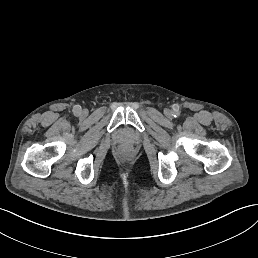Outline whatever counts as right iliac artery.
Wrapping results in <instances>:
<instances>
[{"label":"right iliac artery","mask_w":258,"mask_h":258,"mask_svg":"<svg viewBox=\"0 0 258 258\" xmlns=\"http://www.w3.org/2000/svg\"><path fill=\"white\" fill-rule=\"evenodd\" d=\"M73 114L75 116H79L81 114V106L80 105H75L73 107Z\"/></svg>","instance_id":"right-iliac-artery-1"}]
</instances>
